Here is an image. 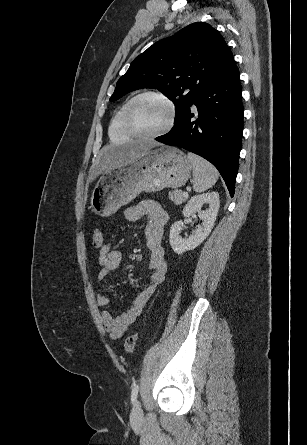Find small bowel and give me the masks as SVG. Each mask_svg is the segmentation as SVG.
Here are the masks:
<instances>
[{
	"instance_id": "small-bowel-1",
	"label": "small bowel",
	"mask_w": 307,
	"mask_h": 445,
	"mask_svg": "<svg viewBox=\"0 0 307 445\" xmlns=\"http://www.w3.org/2000/svg\"><path fill=\"white\" fill-rule=\"evenodd\" d=\"M146 217L145 236L146 245L150 251L148 267L152 271L149 284L134 294L130 307L121 314H114L104 310L101 313V321L105 330L112 339H117L129 329V327L142 315L149 299L156 289L162 284L167 271L165 250L162 246V237L165 225L168 220L166 211L162 206L152 200L142 201L125 210V218L128 221H138ZM122 254L120 251L112 249L110 244H105L99 251L98 281L105 283L111 273L120 266ZM97 303L101 307H106L110 299L106 293H100Z\"/></svg>"
}]
</instances>
